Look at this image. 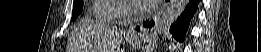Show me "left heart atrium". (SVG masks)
Returning a JSON list of instances; mask_svg holds the SVG:
<instances>
[{
    "label": "left heart atrium",
    "mask_w": 261,
    "mask_h": 52,
    "mask_svg": "<svg viewBox=\"0 0 261 52\" xmlns=\"http://www.w3.org/2000/svg\"><path fill=\"white\" fill-rule=\"evenodd\" d=\"M158 2V0H133L135 7L139 10L154 8Z\"/></svg>",
    "instance_id": "obj_1"
}]
</instances>
